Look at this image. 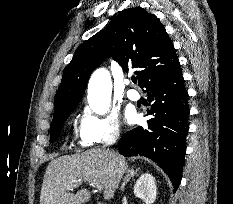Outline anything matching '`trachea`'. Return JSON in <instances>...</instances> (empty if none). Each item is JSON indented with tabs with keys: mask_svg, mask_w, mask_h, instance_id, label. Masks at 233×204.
I'll use <instances>...</instances> for the list:
<instances>
[{
	"mask_svg": "<svg viewBox=\"0 0 233 204\" xmlns=\"http://www.w3.org/2000/svg\"><path fill=\"white\" fill-rule=\"evenodd\" d=\"M132 82H133V83H136V82H137L136 77H133V78H132Z\"/></svg>",
	"mask_w": 233,
	"mask_h": 204,
	"instance_id": "1",
	"label": "trachea"
}]
</instances>
